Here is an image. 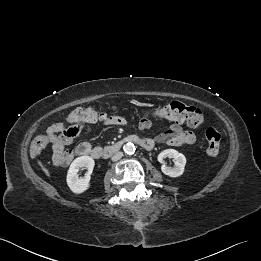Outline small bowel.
Returning a JSON list of instances; mask_svg holds the SVG:
<instances>
[{"label":"small bowel","instance_id":"small-bowel-1","mask_svg":"<svg viewBox=\"0 0 261 261\" xmlns=\"http://www.w3.org/2000/svg\"><path fill=\"white\" fill-rule=\"evenodd\" d=\"M105 125L108 126H121L124 127L127 125V121L124 117L114 114V115H107L106 119L103 121ZM70 125V122L68 121ZM69 127V126H68ZM67 124L64 122L55 123L50 125L46 132L53 135V141L51 143V154H52V162L57 166H65L68 165L74 155L77 156H92V157H99L101 153V148L92 146L87 142L80 143L74 152L72 151H64V145L58 143L55 138L61 134L67 128ZM140 127L142 129H150L154 127V124L151 121L148 122H141ZM154 141L156 143H165L169 146L179 147V146H187L192 145L196 141V136L193 132L184 130L182 125L179 122H174L168 128L163 130L160 134H158Z\"/></svg>","mask_w":261,"mask_h":261}]
</instances>
